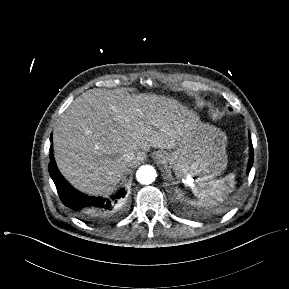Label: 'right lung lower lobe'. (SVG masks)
<instances>
[{"label":"right lung lower lobe","mask_w":289,"mask_h":289,"mask_svg":"<svg viewBox=\"0 0 289 289\" xmlns=\"http://www.w3.org/2000/svg\"><path fill=\"white\" fill-rule=\"evenodd\" d=\"M52 140V137H50ZM49 174L54 181L59 197L63 204L75 211L82 219L99 223L112 218V211L117 200L125 196L122 189L118 194L108 198L90 197L75 190L59 173L50 151Z\"/></svg>","instance_id":"obj_1"}]
</instances>
